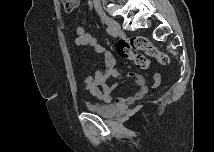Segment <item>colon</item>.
<instances>
[{"label": "colon", "instance_id": "5ec220e1", "mask_svg": "<svg viewBox=\"0 0 215 152\" xmlns=\"http://www.w3.org/2000/svg\"><path fill=\"white\" fill-rule=\"evenodd\" d=\"M77 3V0H64L65 11L72 12L76 8ZM133 49L144 51L149 57L157 59L163 65L168 63L167 54L158 50L151 42L143 37H133L120 40L117 43V52L121 57L132 60L139 68H147L149 66L148 57L133 53Z\"/></svg>", "mask_w": 215, "mask_h": 152}]
</instances>
